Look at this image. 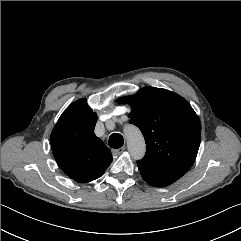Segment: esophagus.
<instances>
[{"mask_svg":"<svg viewBox=\"0 0 241 241\" xmlns=\"http://www.w3.org/2000/svg\"><path fill=\"white\" fill-rule=\"evenodd\" d=\"M124 150H125V146H123V147H121L119 149H113L112 150V154L116 156V155L121 154Z\"/></svg>","mask_w":241,"mask_h":241,"instance_id":"esophagus-1","label":"esophagus"}]
</instances>
